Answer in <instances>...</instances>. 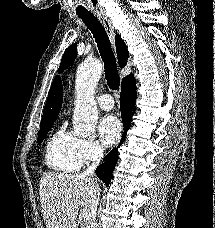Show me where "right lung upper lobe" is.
<instances>
[{
  "mask_svg": "<svg viewBox=\"0 0 215 228\" xmlns=\"http://www.w3.org/2000/svg\"><path fill=\"white\" fill-rule=\"evenodd\" d=\"M116 51L118 63L121 68L127 64L129 53L124 41L119 35L116 36ZM63 101V89L61 80L55 78L52 83L47 102L44 108L41 124L51 123L57 119Z\"/></svg>",
  "mask_w": 215,
  "mask_h": 228,
  "instance_id": "cb5924a9",
  "label": "right lung upper lobe"
}]
</instances>
